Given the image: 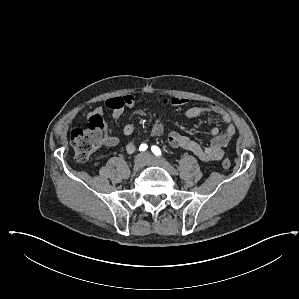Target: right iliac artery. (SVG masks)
<instances>
[{"mask_svg": "<svg viewBox=\"0 0 299 299\" xmlns=\"http://www.w3.org/2000/svg\"><path fill=\"white\" fill-rule=\"evenodd\" d=\"M147 148H148L147 144L143 143V144L140 145L139 151L144 152Z\"/></svg>", "mask_w": 299, "mask_h": 299, "instance_id": "obj_1", "label": "right iliac artery"}]
</instances>
